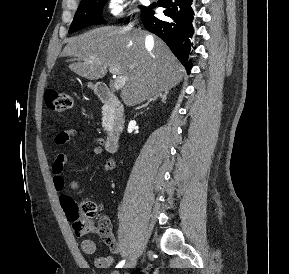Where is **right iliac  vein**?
I'll return each instance as SVG.
<instances>
[{
    "label": "right iliac vein",
    "instance_id": "1",
    "mask_svg": "<svg viewBox=\"0 0 289 274\" xmlns=\"http://www.w3.org/2000/svg\"><path fill=\"white\" fill-rule=\"evenodd\" d=\"M136 265V259H132L129 261L126 265L125 268H133Z\"/></svg>",
    "mask_w": 289,
    "mask_h": 274
}]
</instances>
